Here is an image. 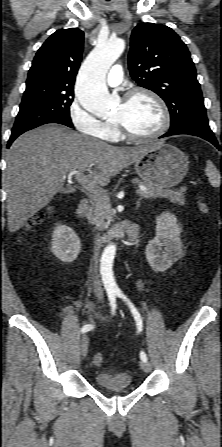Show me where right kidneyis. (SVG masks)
I'll use <instances>...</instances> for the list:
<instances>
[{
    "label": "right kidney",
    "instance_id": "ca27d5eb",
    "mask_svg": "<svg viewBox=\"0 0 222 447\" xmlns=\"http://www.w3.org/2000/svg\"><path fill=\"white\" fill-rule=\"evenodd\" d=\"M51 245L52 253L65 263L73 262L81 248L78 235L66 225H58L54 228Z\"/></svg>",
    "mask_w": 222,
    "mask_h": 447
}]
</instances>
